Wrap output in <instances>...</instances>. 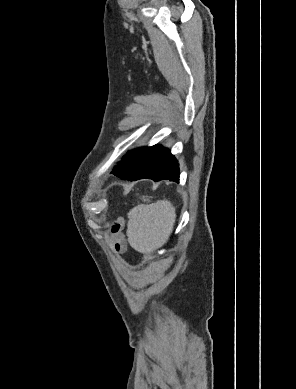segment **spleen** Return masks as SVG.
<instances>
[{
	"label": "spleen",
	"instance_id": "3e777b00",
	"mask_svg": "<svg viewBox=\"0 0 296 389\" xmlns=\"http://www.w3.org/2000/svg\"><path fill=\"white\" fill-rule=\"evenodd\" d=\"M127 237L132 248L143 254L153 253L169 239L176 220L170 201L140 204L128 213Z\"/></svg>",
	"mask_w": 296,
	"mask_h": 389
}]
</instances>
